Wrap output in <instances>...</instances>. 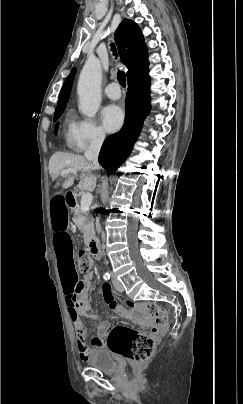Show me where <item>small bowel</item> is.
<instances>
[{
    "label": "small bowel",
    "mask_w": 243,
    "mask_h": 404,
    "mask_svg": "<svg viewBox=\"0 0 243 404\" xmlns=\"http://www.w3.org/2000/svg\"><path fill=\"white\" fill-rule=\"evenodd\" d=\"M50 220L68 314L76 331L78 353L82 360H87L94 349L105 346V337L109 333L111 326L108 323H101L97 327V336L92 339L91 345L87 344L86 330L81 322L80 315H87V291L93 274L88 273L83 281L78 280L73 259L72 240L68 232V203L65 193L59 192L52 196L50 200ZM103 295L110 308L116 314L121 315L123 310L116 303L114 293L109 285H104Z\"/></svg>",
    "instance_id": "c3829d8e"
}]
</instances>
